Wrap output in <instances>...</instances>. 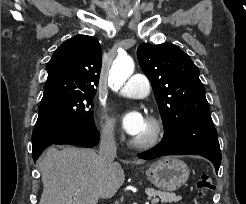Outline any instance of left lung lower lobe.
<instances>
[{"label": "left lung lower lobe", "instance_id": "obj_1", "mask_svg": "<svg viewBox=\"0 0 246 204\" xmlns=\"http://www.w3.org/2000/svg\"><path fill=\"white\" fill-rule=\"evenodd\" d=\"M165 155H201L209 159L218 172L221 152L211 117L190 119L175 124L171 130L165 131L159 145L138 154V157L154 159Z\"/></svg>", "mask_w": 246, "mask_h": 204}]
</instances>
